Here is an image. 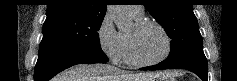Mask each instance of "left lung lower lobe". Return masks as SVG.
Returning a JSON list of instances; mask_svg holds the SVG:
<instances>
[{"mask_svg": "<svg viewBox=\"0 0 237 81\" xmlns=\"http://www.w3.org/2000/svg\"><path fill=\"white\" fill-rule=\"evenodd\" d=\"M157 69H186L197 74L202 81H207L208 66L205 56L192 57L174 64H166L161 62L154 66L141 68V70H157Z\"/></svg>", "mask_w": 237, "mask_h": 81, "instance_id": "1", "label": "left lung lower lobe"}]
</instances>
